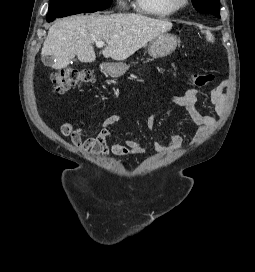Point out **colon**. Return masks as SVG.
<instances>
[{
	"label": "colon",
	"instance_id": "colon-1",
	"mask_svg": "<svg viewBox=\"0 0 255 272\" xmlns=\"http://www.w3.org/2000/svg\"><path fill=\"white\" fill-rule=\"evenodd\" d=\"M92 79V73L84 69H64L56 72L51 77L53 91L59 94L80 87ZM213 80L214 75L211 73H197L190 78V82L195 86H206Z\"/></svg>",
	"mask_w": 255,
	"mask_h": 272
}]
</instances>
